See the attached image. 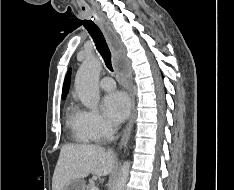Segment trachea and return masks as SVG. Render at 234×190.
<instances>
[{
	"label": "trachea",
	"instance_id": "1",
	"mask_svg": "<svg viewBox=\"0 0 234 190\" xmlns=\"http://www.w3.org/2000/svg\"><path fill=\"white\" fill-rule=\"evenodd\" d=\"M85 28L93 38L96 48L98 52L101 54L106 67L110 70L113 71L112 67V60H111V52L109 50V47L107 45V42L104 38V35L100 28L94 23L91 22L88 25H85Z\"/></svg>",
	"mask_w": 234,
	"mask_h": 190
}]
</instances>
